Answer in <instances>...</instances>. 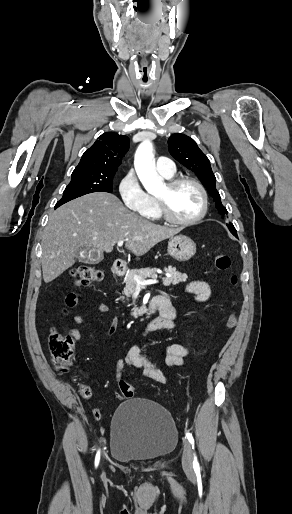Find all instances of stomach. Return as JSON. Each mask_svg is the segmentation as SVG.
Returning <instances> with one entry per match:
<instances>
[{"instance_id":"1","label":"stomach","mask_w":292,"mask_h":514,"mask_svg":"<svg viewBox=\"0 0 292 514\" xmlns=\"http://www.w3.org/2000/svg\"><path fill=\"white\" fill-rule=\"evenodd\" d=\"M196 252V244L187 236H174L168 242V254L178 260V262H186L194 256Z\"/></svg>"}]
</instances>
